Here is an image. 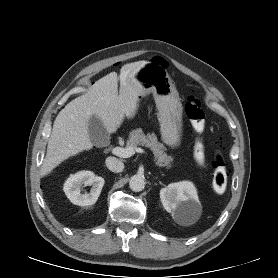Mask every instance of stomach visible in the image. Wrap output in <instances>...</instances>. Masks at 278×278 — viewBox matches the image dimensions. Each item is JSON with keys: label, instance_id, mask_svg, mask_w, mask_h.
<instances>
[{"label": "stomach", "instance_id": "1", "mask_svg": "<svg viewBox=\"0 0 278 278\" xmlns=\"http://www.w3.org/2000/svg\"><path fill=\"white\" fill-rule=\"evenodd\" d=\"M135 78L143 87V96L153 94L162 140L168 146H179L182 137L181 104L167 71L160 64L146 62L136 72Z\"/></svg>", "mask_w": 278, "mask_h": 278}]
</instances>
